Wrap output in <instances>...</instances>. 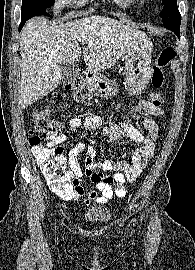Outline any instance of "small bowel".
Returning <instances> with one entry per match:
<instances>
[{
    "label": "small bowel",
    "instance_id": "obj_1",
    "mask_svg": "<svg viewBox=\"0 0 195 270\" xmlns=\"http://www.w3.org/2000/svg\"><path fill=\"white\" fill-rule=\"evenodd\" d=\"M141 100L138 101L140 103ZM123 102L118 103L115 108L114 115L109 123L102 128V134L109 142L125 139L131 140L135 144V148L131 155L130 161L106 159L102 162H95L96 149L94 146L77 142L70 150L68 162L70 170L69 175L72 178V190L68 194L60 195L68 201H75L84 194V176L93 184L101 196H97L94 189L88 191V198L84 201L89 205L92 201L104 204L110 201L114 196L122 198L126 195L125 181H134L140 173L146 168L149 161L152 159L155 151V143L159 135V127L157 123L150 117L145 116L140 119L141 126L148 132V136H144L134 126L117 122L115 116L120 112ZM147 114L162 116L164 109L158 106ZM102 117L98 114L88 113L84 118L72 116L69 119V124L74 129L83 128L87 132L95 131L102 126ZM66 138L64 133L58 134L50 138V143L60 144ZM86 152L85 170L80 166V155ZM98 170L113 172V175H104ZM115 185V188L112 186Z\"/></svg>",
    "mask_w": 195,
    "mask_h": 270
}]
</instances>
